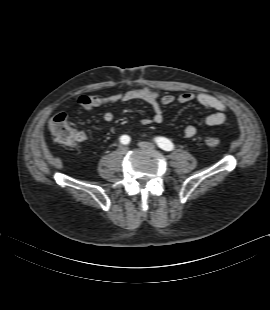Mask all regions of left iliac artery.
I'll return each mask as SVG.
<instances>
[{
	"label": "left iliac artery",
	"instance_id": "1",
	"mask_svg": "<svg viewBox=\"0 0 270 310\" xmlns=\"http://www.w3.org/2000/svg\"><path fill=\"white\" fill-rule=\"evenodd\" d=\"M156 144L158 145V147H160L161 149L165 150V151H171L174 148L173 143L164 137H158L155 139Z\"/></svg>",
	"mask_w": 270,
	"mask_h": 310
}]
</instances>
